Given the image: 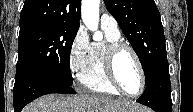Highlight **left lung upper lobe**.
<instances>
[{"label":"left lung upper lobe","mask_w":193,"mask_h":112,"mask_svg":"<svg viewBox=\"0 0 193 112\" xmlns=\"http://www.w3.org/2000/svg\"><path fill=\"white\" fill-rule=\"evenodd\" d=\"M104 3L138 55L147 84L167 59L160 13L154 0H104Z\"/></svg>","instance_id":"1"}]
</instances>
